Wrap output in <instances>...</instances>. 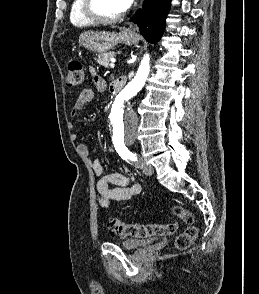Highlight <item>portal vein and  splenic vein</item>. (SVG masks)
I'll return each mask as SVG.
<instances>
[{
    "label": "portal vein and splenic vein",
    "mask_w": 259,
    "mask_h": 294,
    "mask_svg": "<svg viewBox=\"0 0 259 294\" xmlns=\"http://www.w3.org/2000/svg\"><path fill=\"white\" fill-rule=\"evenodd\" d=\"M110 67L114 68L115 67V60H112V62L110 63Z\"/></svg>",
    "instance_id": "1"
}]
</instances>
